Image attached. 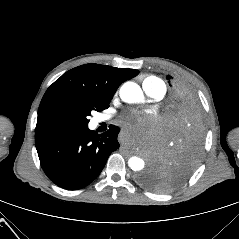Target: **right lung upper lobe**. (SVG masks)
<instances>
[{
  "mask_svg": "<svg viewBox=\"0 0 239 239\" xmlns=\"http://www.w3.org/2000/svg\"><path fill=\"white\" fill-rule=\"evenodd\" d=\"M135 69L85 64L64 73L45 92L39 109L35 135L47 132L49 121L63 114H76L93 107H109L116 90Z\"/></svg>",
  "mask_w": 239,
  "mask_h": 239,
  "instance_id": "right-lung-upper-lobe-1",
  "label": "right lung upper lobe"
}]
</instances>
